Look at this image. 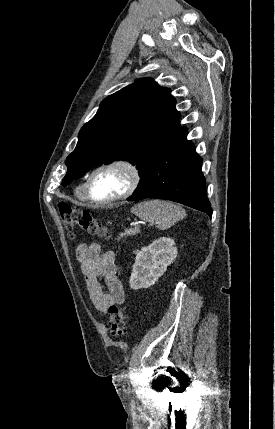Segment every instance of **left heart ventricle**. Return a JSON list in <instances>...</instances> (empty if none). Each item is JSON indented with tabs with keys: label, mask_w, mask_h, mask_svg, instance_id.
<instances>
[{
	"label": "left heart ventricle",
	"mask_w": 275,
	"mask_h": 429,
	"mask_svg": "<svg viewBox=\"0 0 275 429\" xmlns=\"http://www.w3.org/2000/svg\"><path fill=\"white\" fill-rule=\"evenodd\" d=\"M127 185V176L120 169H107L97 173L91 183V195L105 200L121 193Z\"/></svg>",
	"instance_id": "left-heart-ventricle-1"
}]
</instances>
